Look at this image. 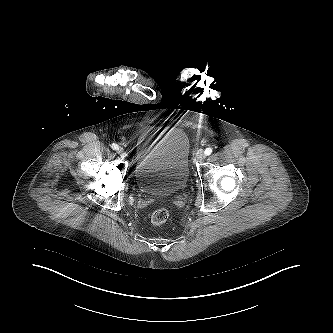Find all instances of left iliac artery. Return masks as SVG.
I'll return each mask as SVG.
<instances>
[{"label": "left iliac artery", "instance_id": "left-iliac-artery-1", "mask_svg": "<svg viewBox=\"0 0 333 333\" xmlns=\"http://www.w3.org/2000/svg\"><path fill=\"white\" fill-rule=\"evenodd\" d=\"M212 151H213L212 148L208 147L205 149L204 153H205V155H210L212 153Z\"/></svg>", "mask_w": 333, "mask_h": 333}]
</instances>
